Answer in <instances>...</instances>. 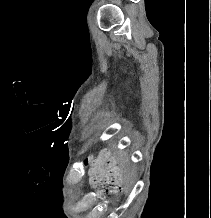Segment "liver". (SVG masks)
<instances>
[{"mask_svg":"<svg viewBox=\"0 0 211 218\" xmlns=\"http://www.w3.org/2000/svg\"><path fill=\"white\" fill-rule=\"evenodd\" d=\"M122 164H123V170L121 172L122 176L123 174H126L125 178H122V180H124V184H125V192H128L132 182H134L135 178H136V170L135 168H130L129 166V158L128 156H126V154H124L123 158H122Z\"/></svg>","mask_w":211,"mask_h":218,"instance_id":"1","label":"liver"}]
</instances>
